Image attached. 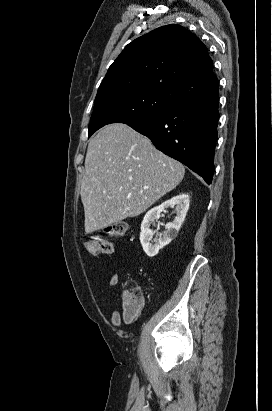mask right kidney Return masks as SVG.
Masks as SVG:
<instances>
[{
    "instance_id": "obj_1",
    "label": "right kidney",
    "mask_w": 272,
    "mask_h": 411,
    "mask_svg": "<svg viewBox=\"0 0 272 411\" xmlns=\"http://www.w3.org/2000/svg\"><path fill=\"white\" fill-rule=\"evenodd\" d=\"M189 203L190 200L188 194L182 193L163 202L161 205L152 208L146 213L141 224L140 242L144 252L149 257L157 255L160 249L168 245L177 236L189 209ZM174 206L177 214L174 221L166 224V231L160 235L159 238H155L152 241L153 232L150 229L151 224L159 219L160 214L164 209Z\"/></svg>"
}]
</instances>
